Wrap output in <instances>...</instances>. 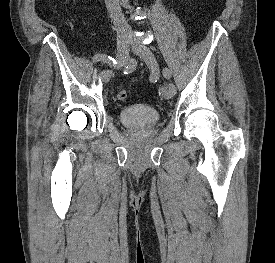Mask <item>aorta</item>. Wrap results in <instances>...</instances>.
Returning a JSON list of instances; mask_svg holds the SVG:
<instances>
[{
  "label": "aorta",
  "instance_id": "1",
  "mask_svg": "<svg viewBox=\"0 0 275 263\" xmlns=\"http://www.w3.org/2000/svg\"><path fill=\"white\" fill-rule=\"evenodd\" d=\"M122 4L125 8H129V0H122Z\"/></svg>",
  "mask_w": 275,
  "mask_h": 263
}]
</instances>
